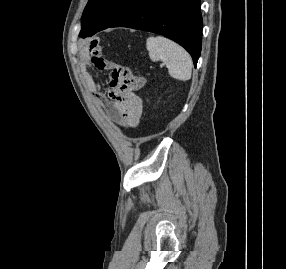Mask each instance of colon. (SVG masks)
Instances as JSON below:
<instances>
[{
	"label": "colon",
	"instance_id": "5ec220e1",
	"mask_svg": "<svg viewBox=\"0 0 286 269\" xmlns=\"http://www.w3.org/2000/svg\"><path fill=\"white\" fill-rule=\"evenodd\" d=\"M111 71L113 88H116L119 95H122L123 110H144V100H141L139 91H143L146 78H135L128 65H115ZM141 77V76H139Z\"/></svg>",
	"mask_w": 286,
	"mask_h": 269
}]
</instances>
